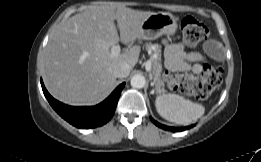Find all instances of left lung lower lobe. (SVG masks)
Here are the masks:
<instances>
[{"label": "left lung lower lobe", "mask_w": 261, "mask_h": 162, "mask_svg": "<svg viewBox=\"0 0 261 162\" xmlns=\"http://www.w3.org/2000/svg\"><path fill=\"white\" fill-rule=\"evenodd\" d=\"M150 119H151V121H152L156 126L162 128V129H164V130H170V131L176 132V131H182V130H184V129H189V126H187V127H185V128H175V127L165 126V125H162V124L158 123V122L155 121L153 118H150ZM193 126H194V125H193Z\"/></svg>", "instance_id": "1"}]
</instances>
